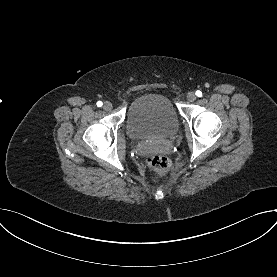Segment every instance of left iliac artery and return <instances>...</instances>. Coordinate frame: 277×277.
<instances>
[{"instance_id":"1","label":"left iliac artery","mask_w":277,"mask_h":277,"mask_svg":"<svg viewBox=\"0 0 277 277\" xmlns=\"http://www.w3.org/2000/svg\"><path fill=\"white\" fill-rule=\"evenodd\" d=\"M196 95L198 96V97H201L202 96V92L201 91H196Z\"/></svg>"}]
</instances>
